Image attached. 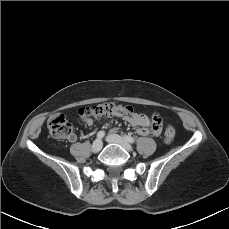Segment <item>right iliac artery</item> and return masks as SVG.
<instances>
[{"label":"right iliac artery","mask_w":229,"mask_h":229,"mask_svg":"<svg viewBox=\"0 0 229 229\" xmlns=\"http://www.w3.org/2000/svg\"><path fill=\"white\" fill-rule=\"evenodd\" d=\"M104 136H105V132H104V131H99V132L97 133V138H98V139H102Z\"/></svg>","instance_id":"82829eb1"}]
</instances>
